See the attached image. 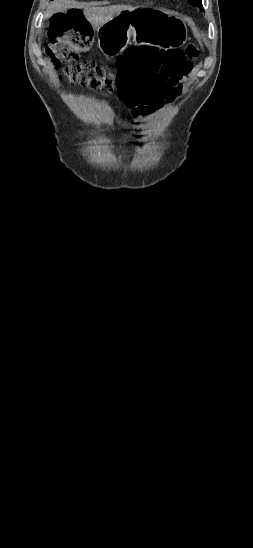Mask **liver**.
<instances>
[{"mask_svg": "<svg viewBox=\"0 0 253 548\" xmlns=\"http://www.w3.org/2000/svg\"><path fill=\"white\" fill-rule=\"evenodd\" d=\"M81 9L83 8V14L89 21L94 29H98L109 22L113 17L120 14L123 11H130L135 9L129 5H110L104 7L90 6L86 3H80L75 0H53L47 10L46 14L51 16L55 13L65 12L68 9Z\"/></svg>", "mask_w": 253, "mask_h": 548, "instance_id": "6515ba94", "label": "liver"}]
</instances>
